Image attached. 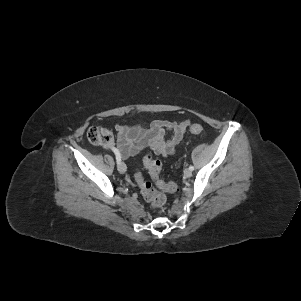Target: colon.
<instances>
[{
	"instance_id": "colon-1",
	"label": "colon",
	"mask_w": 301,
	"mask_h": 301,
	"mask_svg": "<svg viewBox=\"0 0 301 301\" xmlns=\"http://www.w3.org/2000/svg\"><path fill=\"white\" fill-rule=\"evenodd\" d=\"M190 132L192 134H200L203 132V127L200 124H192L190 126ZM87 138L92 144L100 146L110 145L113 141L112 133L108 129L98 126H93L88 129ZM143 164L148 169L152 182L145 181L141 172L135 174V182L139 186L146 201L154 207L162 206L165 203V196L163 193L156 190L153 185L168 192L176 191L177 185L173 182L166 183L161 179V163L159 160L148 155L143 159Z\"/></svg>"
}]
</instances>
